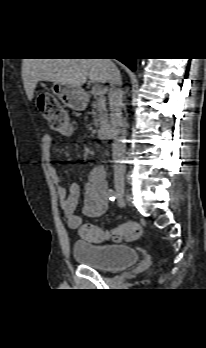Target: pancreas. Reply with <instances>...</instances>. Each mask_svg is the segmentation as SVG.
I'll list each match as a JSON object with an SVG mask.
<instances>
[{
  "mask_svg": "<svg viewBox=\"0 0 206 348\" xmlns=\"http://www.w3.org/2000/svg\"><path fill=\"white\" fill-rule=\"evenodd\" d=\"M93 122L96 127H99L108 121V112L106 109L105 98L100 96L96 101L92 103Z\"/></svg>",
  "mask_w": 206,
  "mask_h": 348,
  "instance_id": "cf45deb5",
  "label": "pancreas"
}]
</instances>
